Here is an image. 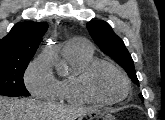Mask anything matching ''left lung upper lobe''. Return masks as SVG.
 I'll list each match as a JSON object with an SVG mask.
<instances>
[{"instance_id": "1", "label": "left lung upper lobe", "mask_w": 165, "mask_h": 120, "mask_svg": "<svg viewBox=\"0 0 165 120\" xmlns=\"http://www.w3.org/2000/svg\"><path fill=\"white\" fill-rule=\"evenodd\" d=\"M87 29L101 51L116 61L127 72L132 82L139 85L132 57L112 27L105 21L93 20L87 23ZM139 96L143 100L142 94Z\"/></svg>"}]
</instances>
